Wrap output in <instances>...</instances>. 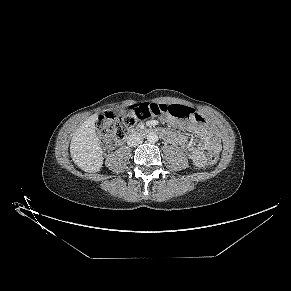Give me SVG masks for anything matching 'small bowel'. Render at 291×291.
<instances>
[{
  "label": "small bowel",
  "mask_w": 291,
  "mask_h": 291,
  "mask_svg": "<svg viewBox=\"0 0 291 291\" xmlns=\"http://www.w3.org/2000/svg\"><path fill=\"white\" fill-rule=\"evenodd\" d=\"M165 122L175 128L181 130H187L192 132L197 141L188 139L184 134L173 132L169 130H163L162 135L170 143L177 144L186 149L189 158L198 167H204L206 165V151L220 150V140L216 132L210 128L201 116L198 119L181 120L179 118L168 115L165 118ZM157 121L152 120L148 122V125L154 126Z\"/></svg>",
  "instance_id": "small-bowel-1"
}]
</instances>
